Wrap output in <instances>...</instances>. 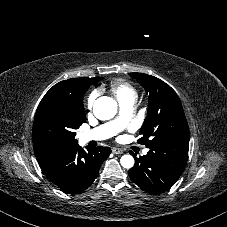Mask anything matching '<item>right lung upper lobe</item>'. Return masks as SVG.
I'll return each instance as SVG.
<instances>
[{
    "label": "right lung upper lobe",
    "instance_id": "obj_1",
    "mask_svg": "<svg viewBox=\"0 0 227 227\" xmlns=\"http://www.w3.org/2000/svg\"><path fill=\"white\" fill-rule=\"evenodd\" d=\"M96 80V77H83L61 81L46 93L38 107L45 104L69 105L78 111L84 112L83 95ZM40 159L42 158L37 160Z\"/></svg>",
    "mask_w": 227,
    "mask_h": 227
}]
</instances>
